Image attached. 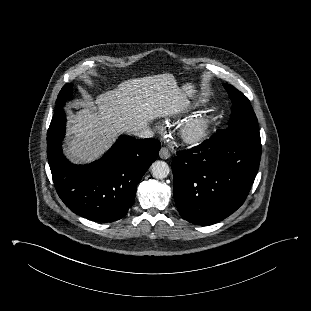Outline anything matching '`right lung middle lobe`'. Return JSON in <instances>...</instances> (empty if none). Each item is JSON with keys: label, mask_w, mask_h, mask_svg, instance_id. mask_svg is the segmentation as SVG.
Listing matches in <instances>:
<instances>
[{"label": "right lung middle lobe", "mask_w": 311, "mask_h": 311, "mask_svg": "<svg viewBox=\"0 0 311 311\" xmlns=\"http://www.w3.org/2000/svg\"><path fill=\"white\" fill-rule=\"evenodd\" d=\"M72 83L66 84L60 91L58 98L56 100V111L59 110L60 108H63L65 102L69 97L72 95Z\"/></svg>", "instance_id": "dd1d6c3e"}]
</instances>
